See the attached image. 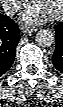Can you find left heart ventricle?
<instances>
[{
  "instance_id": "1",
  "label": "left heart ventricle",
  "mask_w": 63,
  "mask_h": 107,
  "mask_svg": "<svg viewBox=\"0 0 63 107\" xmlns=\"http://www.w3.org/2000/svg\"><path fill=\"white\" fill-rule=\"evenodd\" d=\"M33 3L39 5L45 9L49 14H54L60 6V0L50 1V0H35Z\"/></svg>"
}]
</instances>
